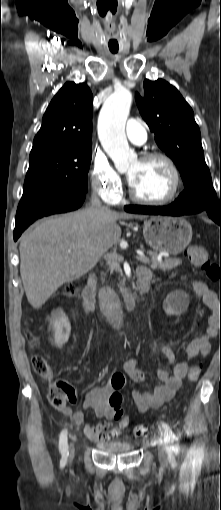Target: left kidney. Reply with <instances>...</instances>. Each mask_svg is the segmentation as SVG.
Returning <instances> with one entry per match:
<instances>
[{"label": "left kidney", "mask_w": 221, "mask_h": 510, "mask_svg": "<svg viewBox=\"0 0 221 510\" xmlns=\"http://www.w3.org/2000/svg\"><path fill=\"white\" fill-rule=\"evenodd\" d=\"M189 306V299L185 292L174 291L163 302V309L169 315H181Z\"/></svg>", "instance_id": "5707ae66"}]
</instances>
